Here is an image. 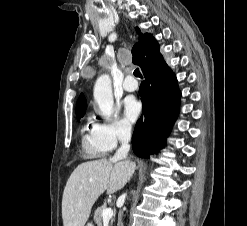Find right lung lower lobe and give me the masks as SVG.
<instances>
[{
  "mask_svg": "<svg viewBox=\"0 0 247 226\" xmlns=\"http://www.w3.org/2000/svg\"><path fill=\"white\" fill-rule=\"evenodd\" d=\"M143 71L139 94L143 113L138 119L132 138L134 153L143 158L158 152L165 144L170 129L178 115L181 93L174 73L167 66L159 46L150 50Z\"/></svg>",
  "mask_w": 247,
  "mask_h": 226,
  "instance_id": "1",
  "label": "right lung lower lobe"
}]
</instances>
